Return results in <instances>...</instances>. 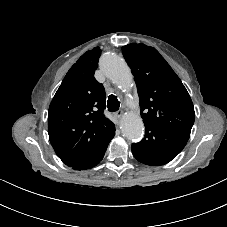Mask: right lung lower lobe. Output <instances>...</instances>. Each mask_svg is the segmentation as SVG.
<instances>
[{"label": "right lung lower lobe", "mask_w": 227, "mask_h": 227, "mask_svg": "<svg viewBox=\"0 0 227 227\" xmlns=\"http://www.w3.org/2000/svg\"><path fill=\"white\" fill-rule=\"evenodd\" d=\"M114 135H115V126L110 131L107 144L94 158L80 162V163L72 166V168L75 170H83V169L86 170V169H90V168L94 167L95 165H97L102 160V158L105 154V151L107 149V146H108L110 140L114 137Z\"/></svg>", "instance_id": "98d812e1"}]
</instances>
